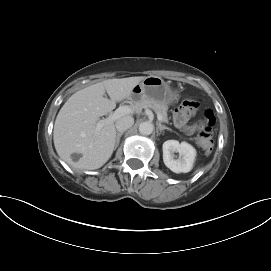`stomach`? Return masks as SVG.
<instances>
[{"label":"stomach","instance_id":"0dacf381","mask_svg":"<svg viewBox=\"0 0 271 271\" xmlns=\"http://www.w3.org/2000/svg\"><path fill=\"white\" fill-rule=\"evenodd\" d=\"M178 98V93L173 90L167 82L158 76H148L137 84L130 99L138 101L141 99L154 100L164 105L174 103Z\"/></svg>","mask_w":271,"mask_h":271}]
</instances>
